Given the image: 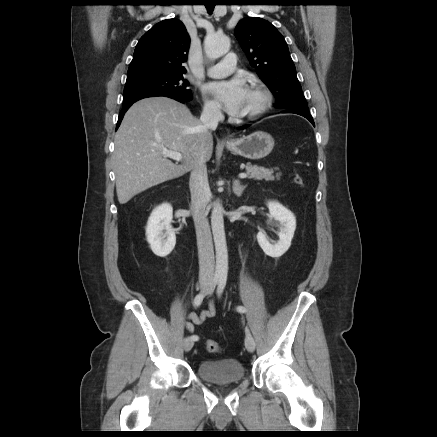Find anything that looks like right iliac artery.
<instances>
[{
	"label": "right iliac artery",
	"mask_w": 437,
	"mask_h": 437,
	"mask_svg": "<svg viewBox=\"0 0 437 437\" xmlns=\"http://www.w3.org/2000/svg\"><path fill=\"white\" fill-rule=\"evenodd\" d=\"M219 280H220L219 278L215 277L212 280V282H211L210 289L214 288L218 284ZM205 295H206L205 291H203V292L199 293L198 295H196V297L194 299V305L197 306V307L200 306L202 301H203V299H204V297H205ZM191 338L194 341H197L199 339V337L197 335H193V336H191Z\"/></svg>",
	"instance_id": "obj_1"
}]
</instances>
